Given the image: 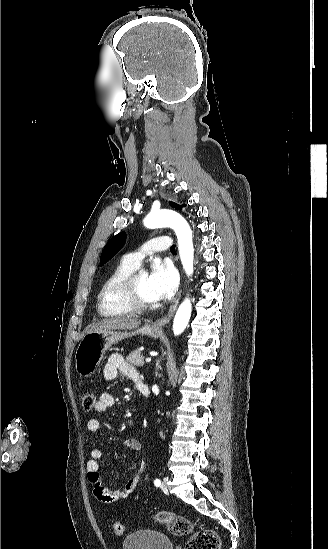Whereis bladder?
Segmentation results:
<instances>
[{
    "mask_svg": "<svg viewBox=\"0 0 328 549\" xmlns=\"http://www.w3.org/2000/svg\"><path fill=\"white\" fill-rule=\"evenodd\" d=\"M123 549H173V545L166 534L146 528L124 536Z\"/></svg>",
    "mask_w": 328,
    "mask_h": 549,
    "instance_id": "31cf9c89",
    "label": "bladder"
}]
</instances>
